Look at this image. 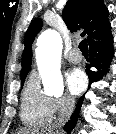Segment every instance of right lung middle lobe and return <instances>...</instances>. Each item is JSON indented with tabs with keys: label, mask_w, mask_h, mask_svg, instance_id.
Here are the masks:
<instances>
[{
	"label": "right lung middle lobe",
	"mask_w": 116,
	"mask_h": 134,
	"mask_svg": "<svg viewBox=\"0 0 116 134\" xmlns=\"http://www.w3.org/2000/svg\"><path fill=\"white\" fill-rule=\"evenodd\" d=\"M25 77H21V83L23 85Z\"/></svg>",
	"instance_id": "obj_1"
}]
</instances>
